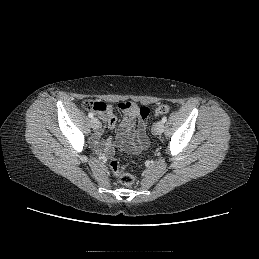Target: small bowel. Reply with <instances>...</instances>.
<instances>
[{
	"label": "small bowel",
	"mask_w": 259,
	"mask_h": 259,
	"mask_svg": "<svg viewBox=\"0 0 259 259\" xmlns=\"http://www.w3.org/2000/svg\"><path fill=\"white\" fill-rule=\"evenodd\" d=\"M121 104L124 105L119 106L124 114V118L119 124L117 140L129 151L134 153L140 152L148 144L146 118L140 115V108L136 104L132 102H124ZM94 112L101 116L109 129L115 128L117 118L113 106L105 105L103 110H94ZM93 144L98 150L107 154L111 153V139L101 141L100 132H97L93 137Z\"/></svg>",
	"instance_id": "small-bowel-1"
}]
</instances>
